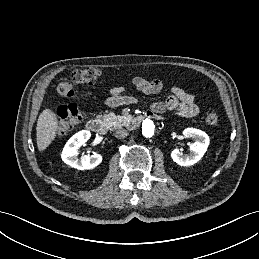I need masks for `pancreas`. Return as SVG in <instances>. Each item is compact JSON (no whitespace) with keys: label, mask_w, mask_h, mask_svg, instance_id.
Listing matches in <instances>:
<instances>
[{"label":"pancreas","mask_w":259,"mask_h":259,"mask_svg":"<svg viewBox=\"0 0 259 259\" xmlns=\"http://www.w3.org/2000/svg\"><path fill=\"white\" fill-rule=\"evenodd\" d=\"M102 119L107 128L110 130L126 126L128 124V121L130 120L128 116H119L114 114L113 112L104 114L102 116Z\"/></svg>","instance_id":"cf45deb5"}]
</instances>
